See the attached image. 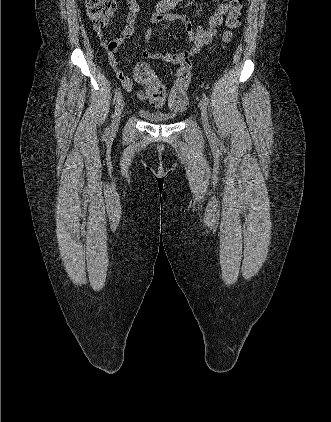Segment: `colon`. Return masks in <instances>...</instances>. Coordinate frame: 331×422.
<instances>
[{"label":"colon","instance_id":"5ec220e1","mask_svg":"<svg viewBox=\"0 0 331 422\" xmlns=\"http://www.w3.org/2000/svg\"><path fill=\"white\" fill-rule=\"evenodd\" d=\"M87 15L90 21L98 27L107 24L116 12L117 0H85ZM243 0H229V11L226 17V29L223 42L229 43L233 31L240 26ZM134 77L145 87V95L153 102L164 101L165 88L157 81L154 71L145 63H138L134 67ZM192 79V65L185 61L177 71L175 81L168 98V106L173 112H182L188 106L187 91Z\"/></svg>","mask_w":331,"mask_h":422}]
</instances>
